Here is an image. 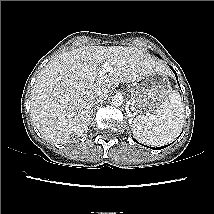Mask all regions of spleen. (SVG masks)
<instances>
[{"label":"spleen","instance_id":"3e777b00","mask_svg":"<svg viewBox=\"0 0 214 214\" xmlns=\"http://www.w3.org/2000/svg\"><path fill=\"white\" fill-rule=\"evenodd\" d=\"M184 105L178 91H172L154 114L134 118L131 130L137 140L162 146L175 140L184 123Z\"/></svg>","mask_w":214,"mask_h":214}]
</instances>
